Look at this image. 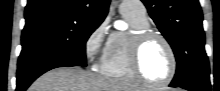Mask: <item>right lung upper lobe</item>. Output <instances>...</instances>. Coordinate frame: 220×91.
I'll return each instance as SVG.
<instances>
[{"label": "right lung upper lobe", "instance_id": "1", "mask_svg": "<svg viewBox=\"0 0 220 91\" xmlns=\"http://www.w3.org/2000/svg\"><path fill=\"white\" fill-rule=\"evenodd\" d=\"M109 0H28L26 24L58 17H69L102 23Z\"/></svg>", "mask_w": 220, "mask_h": 91}]
</instances>
